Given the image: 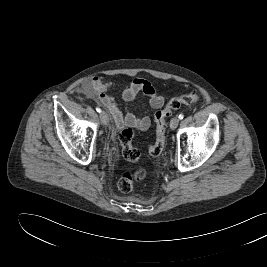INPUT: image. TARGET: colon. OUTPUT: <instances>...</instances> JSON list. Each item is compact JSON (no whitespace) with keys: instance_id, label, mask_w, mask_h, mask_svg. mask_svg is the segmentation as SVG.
Instances as JSON below:
<instances>
[{"instance_id":"obj_1","label":"colon","mask_w":267,"mask_h":267,"mask_svg":"<svg viewBox=\"0 0 267 267\" xmlns=\"http://www.w3.org/2000/svg\"><path fill=\"white\" fill-rule=\"evenodd\" d=\"M198 101L199 96L196 93L181 95L171 99L165 108L155 114L156 139L154 144L148 147L151 156H159L164 148L167 119L173 111L182 106L194 105ZM134 137L135 131L130 127L124 128L119 134L122 155L129 163V166L123 170L118 180V188L124 193L131 192L135 185L147 176V169L140 160V153L132 144Z\"/></svg>"}]
</instances>
